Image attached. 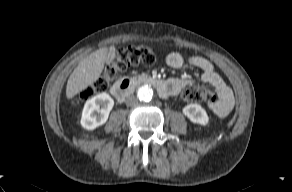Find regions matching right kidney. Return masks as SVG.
Returning a JSON list of instances; mask_svg holds the SVG:
<instances>
[{"label":"right kidney","instance_id":"1","mask_svg":"<svg viewBox=\"0 0 292 192\" xmlns=\"http://www.w3.org/2000/svg\"><path fill=\"white\" fill-rule=\"evenodd\" d=\"M113 106L114 100L105 92L87 100L82 111V127L87 130H94L106 123Z\"/></svg>","mask_w":292,"mask_h":192}]
</instances>
